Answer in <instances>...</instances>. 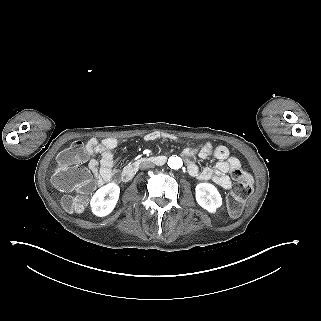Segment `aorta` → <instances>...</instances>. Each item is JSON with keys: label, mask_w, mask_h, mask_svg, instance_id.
<instances>
[{"label": "aorta", "mask_w": 321, "mask_h": 321, "mask_svg": "<svg viewBox=\"0 0 321 321\" xmlns=\"http://www.w3.org/2000/svg\"><path fill=\"white\" fill-rule=\"evenodd\" d=\"M168 166L171 168V169H179L181 168L182 166V160L180 157L178 156H171L169 159H168Z\"/></svg>", "instance_id": "762f6f07"}]
</instances>
